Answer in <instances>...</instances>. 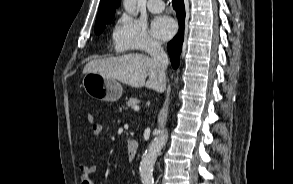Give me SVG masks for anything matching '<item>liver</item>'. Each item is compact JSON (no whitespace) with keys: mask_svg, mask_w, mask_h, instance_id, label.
<instances>
[{"mask_svg":"<svg viewBox=\"0 0 293 184\" xmlns=\"http://www.w3.org/2000/svg\"><path fill=\"white\" fill-rule=\"evenodd\" d=\"M88 72L114 78L135 88L145 85L157 92H163L166 89V81L158 74L152 58L144 54H127L106 59H93L83 69V73ZM147 77L148 80L146 81Z\"/></svg>","mask_w":293,"mask_h":184,"instance_id":"obj_1","label":"liver"}]
</instances>
